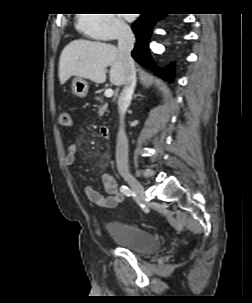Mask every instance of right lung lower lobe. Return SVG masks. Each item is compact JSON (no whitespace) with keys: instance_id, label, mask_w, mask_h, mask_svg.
Masks as SVG:
<instances>
[{"instance_id":"1","label":"right lung lower lobe","mask_w":252,"mask_h":303,"mask_svg":"<svg viewBox=\"0 0 252 303\" xmlns=\"http://www.w3.org/2000/svg\"><path fill=\"white\" fill-rule=\"evenodd\" d=\"M164 16L165 14L160 13H145L132 24V30L137 40L134 50L132 51V57L142 66L154 71H156V66L150 56L148 45L153 26ZM172 72V69L162 71L161 73L156 71L157 74L169 81H172Z\"/></svg>"}]
</instances>
